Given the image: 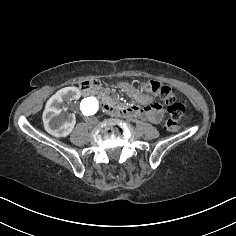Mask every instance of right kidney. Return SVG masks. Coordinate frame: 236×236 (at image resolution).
Here are the masks:
<instances>
[{
    "instance_id": "obj_1",
    "label": "right kidney",
    "mask_w": 236,
    "mask_h": 236,
    "mask_svg": "<svg viewBox=\"0 0 236 236\" xmlns=\"http://www.w3.org/2000/svg\"><path fill=\"white\" fill-rule=\"evenodd\" d=\"M65 95L75 99H78L81 96L79 89L76 87L63 88L51 97V100L43 110L44 128L49 134L55 137L68 136L76 124L74 115L66 118L61 112L67 105V98Z\"/></svg>"
}]
</instances>
